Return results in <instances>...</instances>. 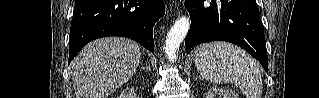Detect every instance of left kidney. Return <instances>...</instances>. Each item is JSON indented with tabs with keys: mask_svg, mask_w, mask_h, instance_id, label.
Listing matches in <instances>:
<instances>
[{
	"mask_svg": "<svg viewBox=\"0 0 319 98\" xmlns=\"http://www.w3.org/2000/svg\"><path fill=\"white\" fill-rule=\"evenodd\" d=\"M206 98H239V95L232 90L215 86L207 92Z\"/></svg>",
	"mask_w": 319,
	"mask_h": 98,
	"instance_id": "obj_1",
	"label": "left kidney"
}]
</instances>
